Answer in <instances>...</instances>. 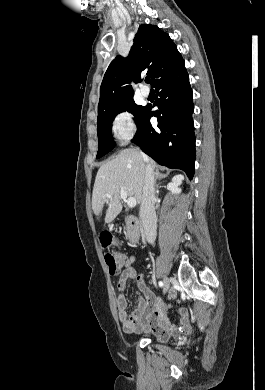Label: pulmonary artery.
<instances>
[{"label":"pulmonary artery","mask_w":265,"mask_h":390,"mask_svg":"<svg viewBox=\"0 0 265 390\" xmlns=\"http://www.w3.org/2000/svg\"><path fill=\"white\" fill-rule=\"evenodd\" d=\"M140 94H141L142 97L147 98V97L149 96V94H150L149 88H147V87L144 86V85L141 86V88H140Z\"/></svg>","instance_id":"obj_1"}]
</instances>
